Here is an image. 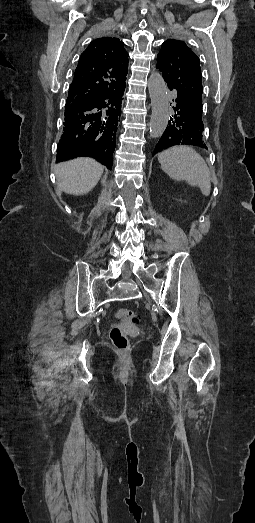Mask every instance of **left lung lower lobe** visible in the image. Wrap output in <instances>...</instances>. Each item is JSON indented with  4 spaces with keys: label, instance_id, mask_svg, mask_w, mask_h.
I'll list each match as a JSON object with an SVG mask.
<instances>
[{
    "label": "left lung lower lobe",
    "instance_id": "left-lung-lower-lobe-1",
    "mask_svg": "<svg viewBox=\"0 0 255 523\" xmlns=\"http://www.w3.org/2000/svg\"><path fill=\"white\" fill-rule=\"evenodd\" d=\"M175 102L172 105L176 114H168V128L163 130L157 147H153V154L162 153L168 147L186 148L196 144L201 150H206L204 143V124L194 114L193 106L187 105L180 99V93H174ZM196 140V141H194Z\"/></svg>",
    "mask_w": 255,
    "mask_h": 523
}]
</instances>
